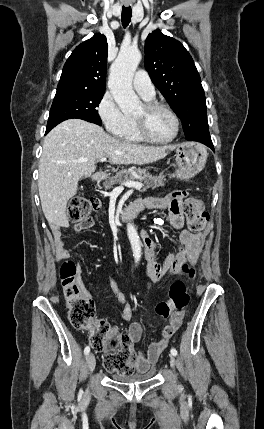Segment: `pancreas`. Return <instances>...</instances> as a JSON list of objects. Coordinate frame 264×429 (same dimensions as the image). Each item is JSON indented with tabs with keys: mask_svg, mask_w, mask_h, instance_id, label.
Instances as JSON below:
<instances>
[{
	"mask_svg": "<svg viewBox=\"0 0 264 429\" xmlns=\"http://www.w3.org/2000/svg\"><path fill=\"white\" fill-rule=\"evenodd\" d=\"M135 172H137L141 177L140 181L146 184L143 190H146L149 188L155 189L159 186H164V182L166 181L165 175H163L162 173L159 174L158 176H152L151 174L146 173L143 170H136ZM123 178L125 181L135 180L134 171L121 170L117 172L113 177L103 182V186L105 190L112 188V186L117 183H120Z\"/></svg>",
	"mask_w": 264,
	"mask_h": 429,
	"instance_id": "cf45deb5",
	"label": "pancreas"
}]
</instances>
